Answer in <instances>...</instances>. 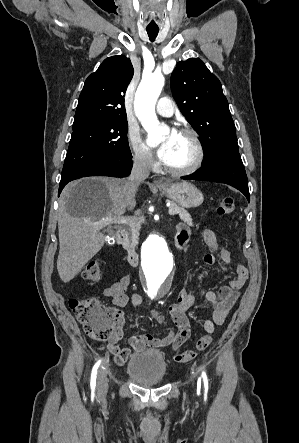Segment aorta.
Returning <instances> with one entry per match:
<instances>
[{
	"instance_id": "762f6f07",
	"label": "aorta",
	"mask_w": 299,
	"mask_h": 443,
	"mask_svg": "<svg viewBox=\"0 0 299 443\" xmlns=\"http://www.w3.org/2000/svg\"><path fill=\"white\" fill-rule=\"evenodd\" d=\"M164 86V77L154 73L143 77L135 94V113L148 134V140L159 143L169 132L161 125L155 113V104ZM173 269V255L159 233H151L142 248V270L146 279V293L149 298L162 297L167 291L166 280Z\"/></svg>"
}]
</instances>
